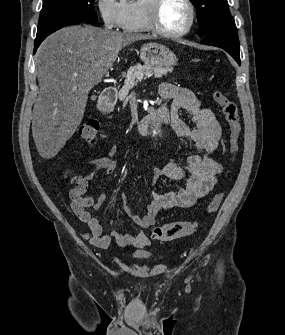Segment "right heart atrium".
I'll return each mask as SVG.
<instances>
[{"mask_svg": "<svg viewBox=\"0 0 285 335\" xmlns=\"http://www.w3.org/2000/svg\"><path fill=\"white\" fill-rule=\"evenodd\" d=\"M99 9L106 28L119 29L123 26L126 19V5L122 1H101Z\"/></svg>", "mask_w": 285, "mask_h": 335, "instance_id": "d8ad5b80", "label": "right heart atrium"}]
</instances>
